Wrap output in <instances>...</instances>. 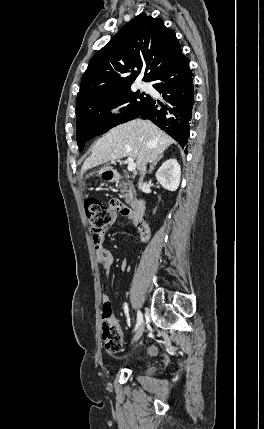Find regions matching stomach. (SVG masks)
<instances>
[{
    "mask_svg": "<svg viewBox=\"0 0 264 429\" xmlns=\"http://www.w3.org/2000/svg\"><path fill=\"white\" fill-rule=\"evenodd\" d=\"M101 177L108 182H113L116 180V172L113 170H105L101 173Z\"/></svg>",
    "mask_w": 264,
    "mask_h": 429,
    "instance_id": "0dacf381",
    "label": "stomach"
}]
</instances>
